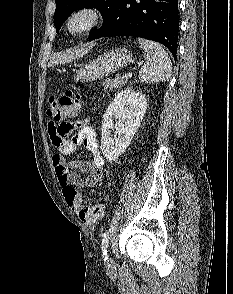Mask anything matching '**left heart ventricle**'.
I'll return each mask as SVG.
<instances>
[{"mask_svg": "<svg viewBox=\"0 0 233 294\" xmlns=\"http://www.w3.org/2000/svg\"><path fill=\"white\" fill-rule=\"evenodd\" d=\"M86 22H87L86 18L79 17L73 22L72 28L74 30H80L81 28H83L86 25Z\"/></svg>", "mask_w": 233, "mask_h": 294, "instance_id": "obj_1", "label": "left heart ventricle"}]
</instances>
